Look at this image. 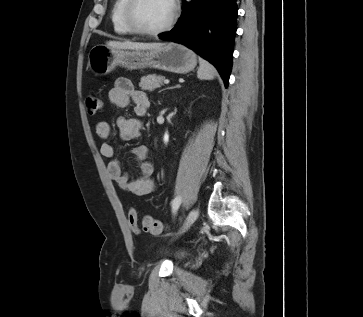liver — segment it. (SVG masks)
<instances>
[{"instance_id": "liver-1", "label": "liver", "mask_w": 363, "mask_h": 317, "mask_svg": "<svg viewBox=\"0 0 363 317\" xmlns=\"http://www.w3.org/2000/svg\"><path fill=\"white\" fill-rule=\"evenodd\" d=\"M163 43H142L131 41H108L107 46L112 49H130V50H151L163 46Z\"/></svg>"}]
</instances>
